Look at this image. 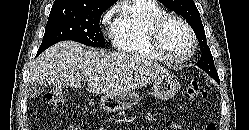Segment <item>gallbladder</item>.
<instances>
[{
	"label": "gallbladder",
	"instance_id": "bac80fb5",
	"mask_svg": "<svg viewBox=\"0 0 249 130\" xmlns=\"http://www.w3.org/2000/svg\"><path fill=\"white\" fill-rule=\"evenodd\" d=\"M44 91H45L44 86H42V85H40V84L32 85V86L29 88L28 97H29V98H35L36 96L42 94Z\"/></svg>",
	"mask_w": 249,
	"mask_h": 130
}]
</instances>
